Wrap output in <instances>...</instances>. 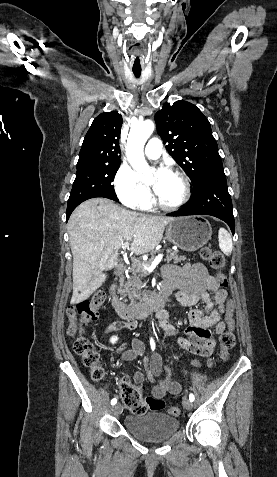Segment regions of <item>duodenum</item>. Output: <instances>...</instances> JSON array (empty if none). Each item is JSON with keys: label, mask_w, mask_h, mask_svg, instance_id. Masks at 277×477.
Wrapping results in <instances>:
<instances>
[{"label": "duodenum", "mask_w": 277, "mask_h": 477, "mask_svg": "<svg viewBox=\"0 0 277 477\" xmlns=\"http://www.w3.org/2000/svg\"><path fill=\"white\" fill-rule=\"evenodd\" d=\"M126 274L127 270L125 267H118L115 270L117 283L114 284L109 291L112 306L121 318L127 321L140 320L149 314L161 311L164 308L169 295L166 292L156 294L136 306H127L119 295L120 286L123 283Z\"/></svg>", "instance_id": "410a0bca"}]
</instances>
